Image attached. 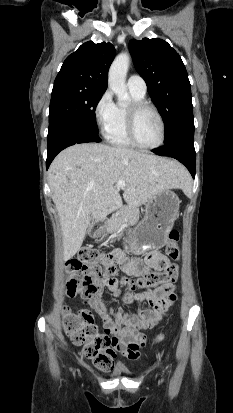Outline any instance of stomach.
<instances>
[{"mask_svg": "<svg viewBox=\"0 0 233 413\" xmlns=\"http://www.w3.org/2000/svg\"><path fill=\"white\" fill-rule=\"evenodd\" d=\"M179 212V198L167 189L156 194L145 205V216L131 232L134 243L132 253L139 255L146 249H160L168 241V235ZM108 231L99 228L94 232L96 238H104Z\"/></svg>", "mask_w": 233, "mask_h": 413, "instance_id": "0dacf381", "label": "stomach"}]
</instances>
